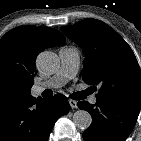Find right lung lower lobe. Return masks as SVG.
Segmentation results:
<instances>
[{"label":"right lung lower lobe","mask_w":141,"mask_h":141,"mask_svg":"<svg viewBox=\"0 0 141 141\" xmlns=\"http://www.w3.org/2000/svg\"><path fill=\"white\" fill-rule=\"evenodd\" d=\"M64 95L51 99L31 95L0 101V141H47L56 120L68 113Z\"/></svg>","instance_id":"98d812e1"}]
</instances>
